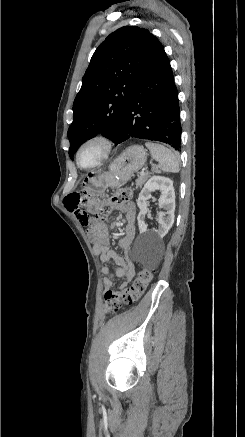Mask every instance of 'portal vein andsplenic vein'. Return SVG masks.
Returning a JSON list of instances; mask_svg holds the SVG:
<instances>
[{"label": "portal vein and splenic vein", "instance_id": "18ae733b", "mask_svg": "<svg viewBox=\"0 0 245 437\" xmlns=\"http://www.w3.org/2000/svg\"><path fill=\"white\" fill-rule=\"evenodd\" d=\"M152 166H154V164ZM140 174L143 175L144 174V170H142Z\"/></svg>", "mask_w": 245, "mask_h": 437}]
</instances>
